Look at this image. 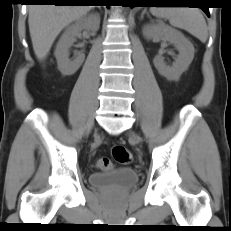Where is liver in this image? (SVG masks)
I'll return each instance as SVG.
<instances>
[{"label": "liver", "mask_w": 231, "mask_h": 231, "mask_svg": "<svg viewBox=\"0 0 231 231\" xmlns=\"http://www.w3.org/2000/svg\"><path fill=\"white\" fill-rule=\"evenodd\" d=\"M91 8L87 5H31L28 24L36 57L45 59L63 28L87 14Z\"/></svg>", "instance_id": "6515ba94"}]
</instances>
